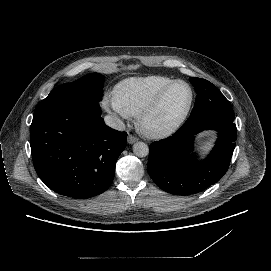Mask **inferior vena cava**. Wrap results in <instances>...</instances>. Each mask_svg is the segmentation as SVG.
<instances>
[{
  "label": "inferior vena cava",
  "instance_id": "602c4592",
  "mask_svg": "<svg viewBox=\"0 0 271 271\" xmlns=\"http://www.w3.org/2000/svg\"><path fill=\"white\" fill-rule=\"evenodd\" d=\"M105 124L113 129L116 130H124L125 124L116 116L114 115H106L104 117Z\"/></svg>",
  "mask_w": 271,
  "mask_h": 271
}]
</instances>
